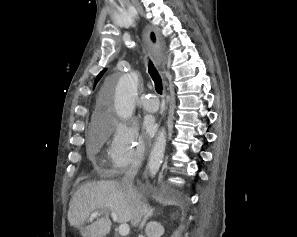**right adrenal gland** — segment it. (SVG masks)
<instances>
[{
    "label": "right adrenal gland",
    "mask_w": 297,
    "mask_h": 237,
    "mask_svg": "<svg viewBox=\"0 0 297 237\" xmlns=\"http://www.w3.org/2000/svg\"><path fill=\"white\" fill-rule=\"evenodd\" d=\"M144 205H145V208H146V212H145L144 218H143V220H142V222H141V224H140V229H143V228H144V226H145L147 220H148L150 217L153 216V214H154V210H155L154 208H152V207L147 203L146 200L144 201Z\"/></svg>",
    "instance_id": "obj_1"
}]
</instances>
